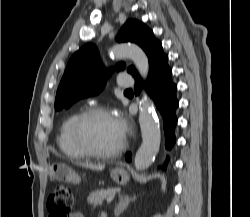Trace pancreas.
<instances>
[{
    "label": "pancreas",
    "instance_id": "pancreas-1",
    "mask_svg": "<svg viewBox=\"0 0 250 217\" xmlns=\"http://www.w3.org/2000/svg\"><path fill=\"white\" fill-rule=\"evenodd\" d=\"M114 194L115 190L113 188L96 190L88 196L87 203L93 205L94 207L98 205L100 206L108 196Z\"/></svg>",
    "mask_w": 250,
    "mask_h": 217
}]
</instances>
